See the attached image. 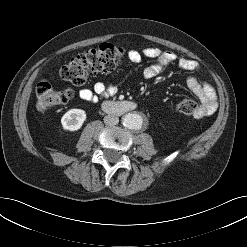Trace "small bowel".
Instances as JSON below:
<instances>
[{"label": "small bowel", "mask_w": 247, "mask_h": 247, "mask_svg": "<svg viewBox=\"0 0 247 247\" xmlns=\"http://www.w3.org/2000/svg\"><path fill=\"white\" fill-rule=\"evenodd\" d=\"M131 62L138 64L143 57L154 58L156 61L147 65L143 71V77L150 79L160 74L166 67L176 64L179 69L186 71H197L199 65L196 61L187 58H177L171 51H163L159 48L150 47L142 52L131 50L128 53ZM189 89L199 98L201 106L196 111L195 118H203L213 114L217 108V95L215 89L207 82L199 80L196 76L190 75L187 78ZM118 89L115 85L97 82L93 89H81L80 99L87 102H98L107 97H113Z\"/></svg>", "instance_id": "small-bowel-1"}]
</instances>
